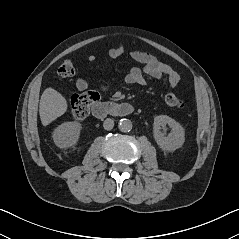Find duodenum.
Instances as JSON below:
<instances>
[{"mask_svg": "<svg viewBox=\"0 0 239 239\" xmlns=\"http://www.w3.org/2000/svg\"><path fill=\"white\" fill-rule=\"evenodd\" d=\"M135 110V107L130 103H94L92 105V113L98 119H103L108 115L117 117H123L131 115Z\"/></svg>", "mask_w": 239, "mask_h": 239, "instance_id": "1", "label": "duodenum"}]
</instances>
